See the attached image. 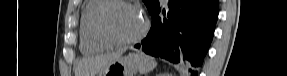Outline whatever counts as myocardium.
Here are the masks:
<instances>
[{
	"instance_id": "myocardium-1",
	"label": "myocardium",
	"mask_w": 287,
	"mask_h": 76,
	"mask_svg": "<svg viewBox=\"0 0 287 76\" xmlns=\"http://www.w3.org/2000/svg\"><path fill=\"white\" fill-rule=\"evenodd\" d=\"M116 5H126L137 9L143 17V27L141 31L134 37L129 39H118L111 35L105 27V18L108 12ZM149 19L142 8L131 1L127 0H107L105 4L98 10L94 19V31L100 41L108 47L128 46L141 41L149 30Z\"/></svg>"
}]
</instances>
